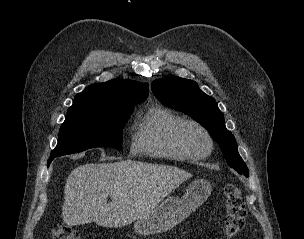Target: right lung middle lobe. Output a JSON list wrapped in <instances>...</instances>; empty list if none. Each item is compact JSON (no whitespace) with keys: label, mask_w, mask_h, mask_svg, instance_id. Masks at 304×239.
Instances as JSON below:
<instances>
[{"label":"right lung middle lobe","mask_w":304,"mask_h":239,"mask_svg":"<svg viewBox=\"0 0 304 239\" xmlns=\"http://www.w3.org/2000/svg\"><path fill=\"white\" fill-rule=\"evenodd\" d=\"M132 111L130 105L118 111L67 113L59 131L58 144L50 157L102 146L121 150V131Z\"/></svg>","instance_id":"dd1d6c3e"}]
</instances>
